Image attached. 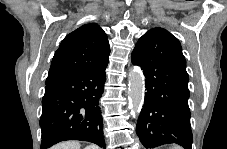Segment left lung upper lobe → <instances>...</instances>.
Here are the masks:
<instances>
[{
	"mask_svg": "<svg viewBox=\"0 0 227 149\" xmlns=\"http://www.w3.org/2000/svg\"><path fill=\"white\" fill-rule=\"evenodd\" d=\"M173 36V35H172ZM173 38H174V40L180 45V42L178 41V39L176 38V37H174L173 36ZM181 46V45H180Z\"/></svg>",
	"mask_w": 227,
	"mask_h": 149,
	"instance_id": "obj_1",
	"label": "left lung upper lobe"
}]
</instances>
